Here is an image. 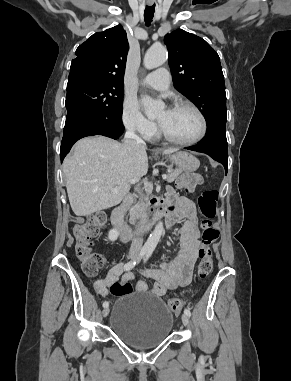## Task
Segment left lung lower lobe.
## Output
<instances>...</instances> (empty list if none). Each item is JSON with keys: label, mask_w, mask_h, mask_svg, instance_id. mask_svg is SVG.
<instances>
[{"label": "left lung lower lobe", "mask_w": 291, "mask_h": 381, "mask_svg": "<svg viewBox=\"0 0 291 381\" xmlns=\"http://www.w3.org/2000/svg\"><path fill=\"white\" fill-rule=\"evenodd\" d=\"M186 149L209 155L213 159L223 164V166L225 167V172L227 174L228 144L226 140V133L206 135L199 144L187 147Z\"/></svg>", "instance_id": "left-lung-lower-lobe-1"}]
</instances>
